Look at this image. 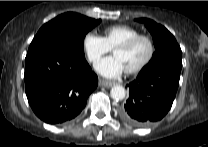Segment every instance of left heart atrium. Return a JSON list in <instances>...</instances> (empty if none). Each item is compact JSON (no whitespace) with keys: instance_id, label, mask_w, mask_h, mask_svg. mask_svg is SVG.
Segmentation results:
<instances>
[{"instance_id":"1","label":"left heart atrium","mask_w":208,"mask_h":147,"mask_svg":"<svg viewBox=\"0 0 208 147\" xmlns=\"http://www.w3.org/2000/svg\"><path fill=\"white\" fill-rule=\"evenodd\" d=\"M95 68L99 74L106 78H117L126 71L122 61L116 56L102 59Z\"/></svg>"}]
</instances>
